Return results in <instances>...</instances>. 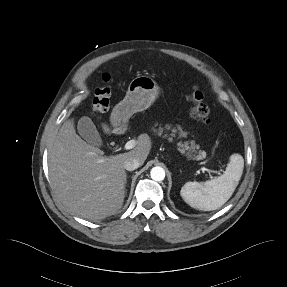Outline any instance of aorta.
Returning a JSON list of instances; mask_svg holds the SVG:
<instances>
[{
	"label": "aorta",
	"instance_id": "aorta-1",
	"mask_svg": "<svg viewBox=\"0 0 287 287\" xmlns=\"http://www.w3.org/2000/svg\"><path fill=\"white\" fill-rule=\"evenodd\" d=\"M151 178L154 181H162L165 178V170L162 167H153L150 171Z\"/></svg>",
	"mask_w": 287,
	"mask_h": 287
}]
</instances>
